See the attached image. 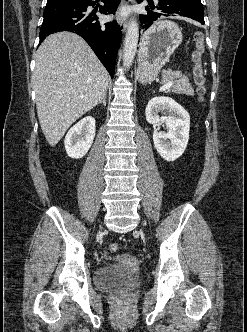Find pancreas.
I'll list each match as a JSON object with an SVG mask.
<instances>
[{"mask_svg": "<svg viewBox=\"0 0 247 332\" xmlns=\"http://www.w3.org/2000/svg\"><path fill=\"white\" fill-rule=\"evenodd\" d=\"M168 81H172L173 85L172 88L168 89L167 92L185 94L189 96H192L194 94V90L189 83L188 77L183 75L181 72L175 71L164 74L162 77V82L166 83Z\"/></svg>", "mask_w": 247, "mask_h": 332, "instance_id": "cf45deb5", "label": "pancreas"}]
</instances>
